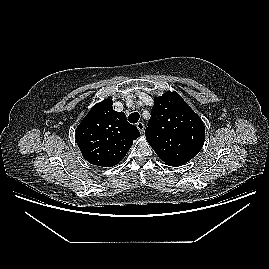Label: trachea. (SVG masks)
Segmentation results:
<instances>
[{"mask_svg":"<svg viewBox=\"0 0 269 269\" xmlns=\"http://www.w3.org/2000/svg\"><path fill=\"white\" fill-rule=\"evenodd\" d=\"M139 118H140V115H139V113L138 112H133V113H131L129 116H128V121L130 122V123H137L138 122V120H139Z\"/></svg>","mask_w":269,"mask_h":269,"instance_id":"1","label":"trachea"}]
</instances>
